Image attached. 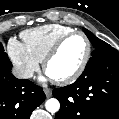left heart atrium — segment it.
Returning <instances> with one entry per match:
<instances>
[{"mask_svg":"<svg viewBox=\"0 0 119 119\" xmlns=\"http://www.w3.org/2000/svg\"><path fill=\"white\" fill-rule=\"evenodd\" d=\"M47 77L51 78L48 74H47Z\"/></svg>","mask_w":119,"mask_h":119,"instance_id":"left-heart-atrium-1","label":"left heart atrium"}]
</instances>
